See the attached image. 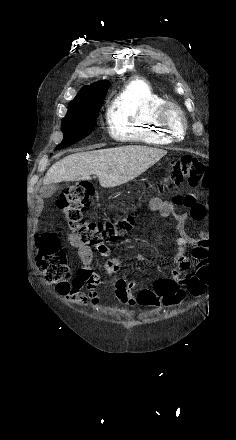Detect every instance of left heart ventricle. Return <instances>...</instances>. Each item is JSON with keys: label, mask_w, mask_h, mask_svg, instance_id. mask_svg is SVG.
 Masks as SVG:
<instances>
[{"label": "left heart ventricle", "mask_w": 236, "mask_h": 440, "mask_svg": "<svg viewBox=\"0 0 236 440\" xmlns=\"http://www.w3.org/2000/svg\"><path fill=\"white\" fill-rule=\"evenodd\" d=\"M171 120H172V124H173V126L175 127V129H176V130H179V128H180V120H179V117H178L177 115L173 114V115L171 116Z\"/></svg>", "instance_id": "obj_1"}]
</instances>
